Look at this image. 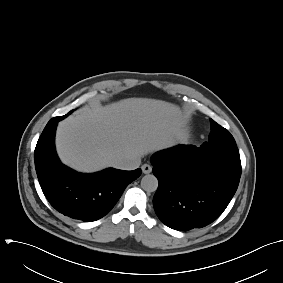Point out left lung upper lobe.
Returning a JSON list of instances; mask_svg holds the SVG:
<instances>
[{
    "mask_svg": "<svg viewBox=\"0 0 283 283\" xmlns=\"http://www.w3.org/2000/svg\"><path fill=\"white\" fill-rule=\"evenodd\" d=\"M211 132L208 142L203 143V147L219 149L233 155H239V151L233 136L227 129L210 119Z\"/></svg>",
    "mask_w": 283,
    "mask_h": 283,
    "instance_id": "5c2ea615",
    "label": "left lung upper lobe"
}]
</instances>
